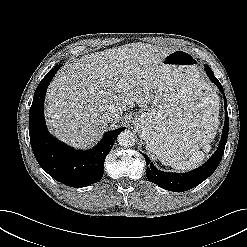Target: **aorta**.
<instances>
[{"label":"aorta","mask_w":247,"mask_h":247,"mask_svg":"<svg viewBox=\"0 0 247 247\" xmlns=\"http://www.w3.org/2000/svg\"><path fill=\"white\" fill-rule=\"evenodd\" d=\"M118 143L123 147H130L135 144V135L130 130H124L118 135Z\"/></svg>","instance_id":"1"}]
</instances>
